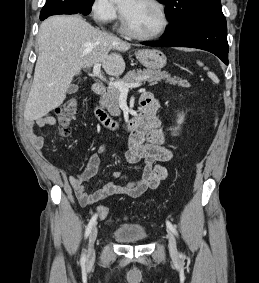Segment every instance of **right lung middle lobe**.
Segmentation results:
<instances>
[{"label":"right lung middle lobe","mask_w":259,"mask_h":283,"mask_svg":"<svg viewBox=\"0 0 259 283\" xmlns=\"http://www.w3.org/2000/svg\"><path fill=\"white\" fill-rule=\"evenodd\" d=\"M84 1L86 2L88 13H90L91 6H92L94 0H84Z\"/></svg>","instance_id":"dd1d6c3e"}]
</instances>
